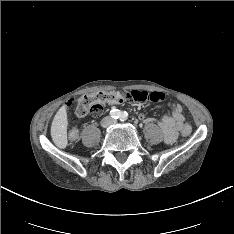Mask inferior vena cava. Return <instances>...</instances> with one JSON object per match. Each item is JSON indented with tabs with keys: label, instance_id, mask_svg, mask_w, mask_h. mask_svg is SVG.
Segmentation results:
<instances>
[{
	"label": "inferior vena cava",
	"instance_id": "602c4592",
	"mask_svg": "<svg viewBox=\"0 0 234 234\" xmlns=\"http://www.w3.org/2000/svg\"><path fill=\"white\" fill-rule=\"evenodd\" d=\"M115 123H116V121L111 117H105L101 121L102 127H108V126L115 124Z\"/></svg>",
	"mask_w": 234,
	"mask_h": 234
}]
</instances>
